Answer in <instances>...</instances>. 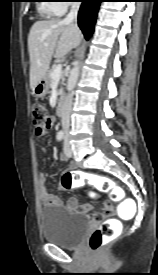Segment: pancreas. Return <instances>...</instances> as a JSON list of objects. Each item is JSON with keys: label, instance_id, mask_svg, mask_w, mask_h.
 Here are the masks:
<instances>
[{"label": "pancreas", "instance_id": "cf45deb5", "mask_svg": "<svg viewBox=\"0 0 158 275\" xmlns=\"http://www.w3.org/2000/svg\"><path fill=\"white\" fill-rule=\"evenodd\" d=\"M55 68H56V67L54 66V67H52L51 69H49L48 72H47V78H48V83H49V85H50L51 82L53 81V79H52V77H51V73L53 72V70H54ZM61 80H62L61 83L64 84L65 77L62 76V77H61Z\"/></svg>", "mask_w": 158, "mask_h": 275}]
</instances>
